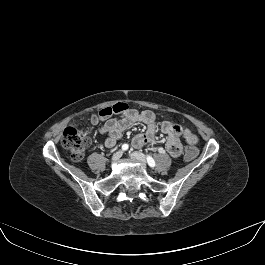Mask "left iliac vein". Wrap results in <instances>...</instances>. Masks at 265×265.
Returning a JSON list of instances; mask_svg holds the SVG:
<instances>
[{"label": "left iliac vein", "instance_id": "left-iliac-vein-1", "mask_svg": "<svg viewBox=\"0 0 265 265\" xmlns=\"http://www.w3.org/2000/svg\"><path fill=\"white\" fill-rule=\"evenodd\" d=\"M131 157L134 160L140 162L143 166H146V157H145V155L143 153H141V152H133V153H131Z\"/></svg>", "mask_w": 265, "mask_h": 265}]
</instances>
